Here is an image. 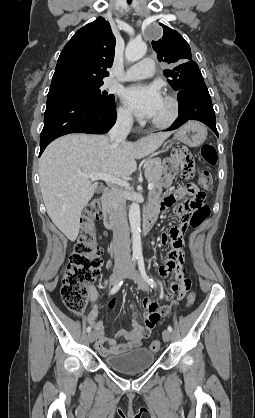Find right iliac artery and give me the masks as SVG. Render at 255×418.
Returning <instances> with one entry per match:
<instances>
[{
	"instance_id": "right-iliac-artery-1",
	"label": "right iliac artery",
	"mask_w": 255,
	"mask_h": 418,
	"mask_svg": "<svg viewBox=\"0 0 255 418\" xmlns=\"http://www.w3.org/2000/svg\"><path fill=\"white\" fill-rule=\"evenodd\" d=\"M137 257H133L132 258V265L131 268H134L135 266V262H136ZM123 284V280H121L120 282H118L110 291V294H115L121 287V285ZM91 331V327L88 326L87 327V332L89 333Z\"/></svg>"
}]
</instances>
